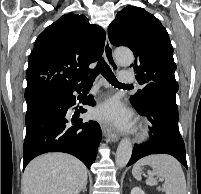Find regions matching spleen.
<instances>
[{"label":"spleen","instance_id":"spleen-1","mask_svg":"<svg viewBox=\"0 0 201 194\" xmlns=\"http://www.w3.org/2000/svg\"><path fill=\"white\" fill-rule=\"evenodd\" d=\"M143 165H149L153 171L148 172L146 184L157 185L154 176L163 178V190L166 194H186V180L180 163L172 156L166 154L150 155L137 161L133 166L132 175L137 180H141Z\"/></svg>","mask_w":201,"mask_h":194}]
</instances>
